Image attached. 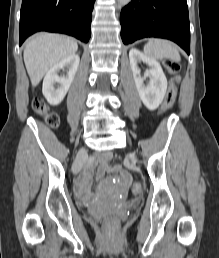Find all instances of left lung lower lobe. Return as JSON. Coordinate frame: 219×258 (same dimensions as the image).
I'll list each match as a JSON object with an SVG mask.
<instances>
[{"label":"left lung lower lobe","mask_w":219,"mask_h":258,"mask_svg":"<svg viewBox=\"0 0 219 258\" xmlns=\"http://www.w3.org/2000/svg\"><path fill=\"white\" fill-rule=\"evenodd\" d=\"M120 23L126 45L145 37L166 38L190 54L186 0H132L122 9Z\"/></svg>","instance_id":"1"}]
</instances>
